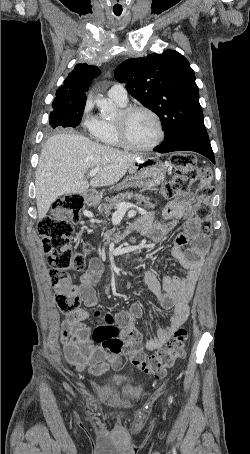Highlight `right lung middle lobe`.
Here are the masks:
<instances>
[{
    "mask_svg": "<svg viewBox=\"0 0 250 454\" xmlns=\"http://www.w3.org/2000/svg\"><path fill=\"white\" fill-rule=\"evenodd\" d=\"M86 101L66 102L54 100L53 111L50 113L49 124L52 128L58 126L77 127L81 121Z\"/></svg>",
    "mask_w": 250,
    "mask_h": 454,
    "instance_id": "right-lung-middle-lobe-1",
    "label": "right lung middle lobe"
}]
</instances>
